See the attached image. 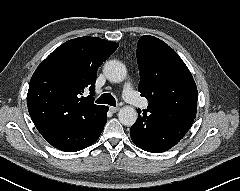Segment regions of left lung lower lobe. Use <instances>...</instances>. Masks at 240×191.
I'll use <instances>...</instances> for the list:
<instances>
[{
    "mask_svg": "<svg viewBox=\"0 0 240 191\" xmlns=\"http://www.w3.org/2000/svg\"><path fill=\"white\" fill-rule=\"evenodd\" d=\"M131 127L130 136L134 144L145 151L161 153L176 145L187 133L183 127L163 121H155L147 110H143ZM140 114V111H139Z\"/></svg>",
    "mask_w": 240,
    "mask_h": 191,
    "instance_id": "left-lung-lower-lobe-1",
    "label": "left lung lower lobe"
}]
</instances>
